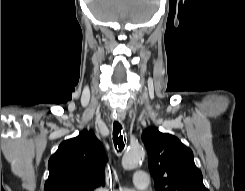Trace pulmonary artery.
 Segmentation results:
<instances>
[{"instance_id": "obj_1", "label": "pulmonary artery", "mask_w": 245, "mask_h": 191, "mask_svg": "<svg viewBox=\"0 0 245 191\" xmlns=\"http://www.w3.org/2000/svg\"><path fill=\"white\" fill-rule=\"evenodd\" d=\"M150 178L146 171L138 170L133 175V185L135 188H120L116 191L146 190L149 186Z\"/></svg>"}]
</instances>
